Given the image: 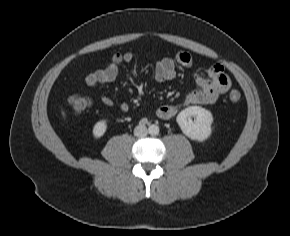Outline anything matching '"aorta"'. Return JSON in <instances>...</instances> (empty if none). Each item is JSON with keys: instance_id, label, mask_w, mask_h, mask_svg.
Masks as SVG:
<instances>
[{"instance_id": "obj_1", "label": "aorta", "mask_w": 290, "mask_h": 236, "mask_svg": "<svg viewBox=\"0 0 290 236\" xmlns=\"http://www.w3.org/2000/svg\"><path fill=\"white\" fill-rule=\"evenodd\" d=\"M148 131L151 135H157L159 133V127L157 125H151Z\"/></svg>"}]
</instances>
